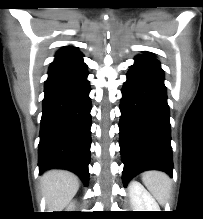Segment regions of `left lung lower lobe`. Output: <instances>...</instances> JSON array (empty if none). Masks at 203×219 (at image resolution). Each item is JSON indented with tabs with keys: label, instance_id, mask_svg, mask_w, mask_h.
Segmentation results:
<instances>
[{
	"label": "left lung lower lobe",
	"instance_id": "0a47b994",
	"mask_svg": "<svg viewBox=\"0 0 203 219\" xmlns=\"http://www.w3.org/2000/svg\"><path fill=\"white\" fill-rule=\"evenodd\" d=\"M120 110L124 186L146 170H161L172 176L169 106L163 70L155 58H135L122 89Z\"/></svg>",
	"mask_w": 203,
	"mask_h": 219
}]
</instances>
